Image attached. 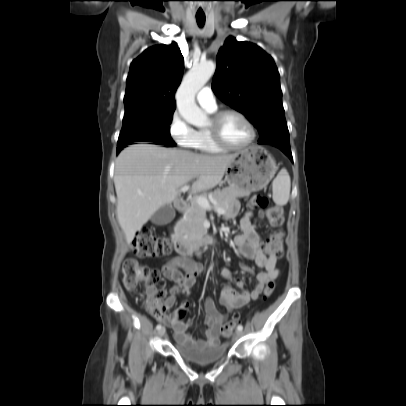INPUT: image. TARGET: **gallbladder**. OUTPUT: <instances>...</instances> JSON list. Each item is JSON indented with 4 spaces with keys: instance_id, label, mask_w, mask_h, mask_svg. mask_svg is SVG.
I'll use <instances>...</instances> for the list:
<instances>
[{
    "instance_id": "gallbladder-1",
    "label": "gallbladder",
    "mask_w": 406,
    "mask_h": 406,
    "mask_svg": "<svg viewBox=\"0 0 406 406\" xmlns=\"http://www.w3.org/2000/svg\"><path fill=\"white\" fill-rule=\"evenodd\" d=\"M175 217V210L171 204H167L157 210L151 217V222L155 225H166Z\"/></svg>"
}]
</instances>
